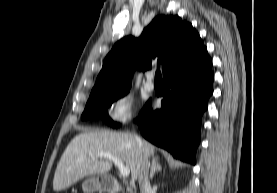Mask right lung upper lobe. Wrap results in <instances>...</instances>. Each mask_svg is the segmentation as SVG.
I'll use <instances>...</instances> for the list:
<instances>
[{"label": "right lung upper lobe", "instance_id": "cb5924a9", "mask_svg": "<svg viewBox=\"0 0 277 193\" xmlns=\"http://www.w3.org/2000/svg\"><path fill=\"white\" fill-rule=\"evenodd\" d=\"M205 46L192 25L178 16H156L139 38L127 36L106 56L91 94L131 86L134 69L145 71L162 65L163 76L192 59Z\"/></svg>", "mask_w": 277, "mask_h": 193}]
</instances>
